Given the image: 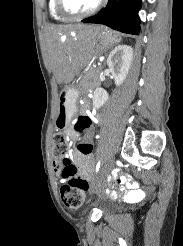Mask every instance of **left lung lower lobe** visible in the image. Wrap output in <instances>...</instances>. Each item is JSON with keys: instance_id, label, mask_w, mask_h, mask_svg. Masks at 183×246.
I'll use <instances>...</instances> for the list:
<instances>
[{"instance_id": "left-lung-lower-lobe-1", "label": "left lung lower lobe", "mask_w": 183, "mask_h": 246, "mask_svg": "<svg viewBox=\"0 0 183 246\" xmlns=\"http://www.w3.org/2000/svg\"><path fill=\"white\" fill-rule=\"evenodd\" d=\"M141 0H109L105 9L96 15L83 19L85 23L104 24L114 30L138 35L140 31V19L138 11Z\"/></svg>"}]
</instances>
